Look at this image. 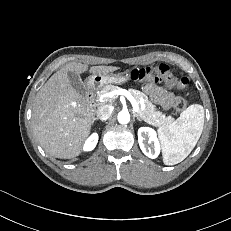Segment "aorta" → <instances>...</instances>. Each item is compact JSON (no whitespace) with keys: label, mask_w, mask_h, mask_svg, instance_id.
I'll return each mask as SVG.
<instances>
[{"label":"aorta","mask_w":231,"mask_h":231,"mask_svg":"<svg viewBox=\"0 0 231 231\" xmlns=\"http://www.w3.org/2000/svg\"><path fill=\"white\" fill-rule=\"evenodd\" d=\"M118 121L121 124H127L130 121V114L128 111H120L118 113Z\"/></svg>","instance_id":"762f6f07"}]
</instances>
